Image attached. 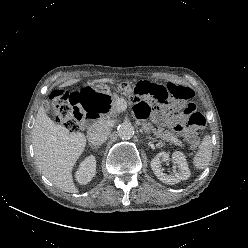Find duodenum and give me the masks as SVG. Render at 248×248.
I'll return each mask as SVG.
<instances>
[{"label": "duodenum", "instance_id": "obj_1", "mask_svg": "<svg viewBox=\"0 0 248 248\" xmlns=\"http://www.w3.org/2000/svg\"><path fill=\"white\" fill-rule=\"evenodd\" d=\"M83 118H84V122L88 123L91 121L98 120L99 117H97L94 113L84 111V117Z\"/></svg>", "mask_w": 248, "mask_h": 248}]
</instances>
